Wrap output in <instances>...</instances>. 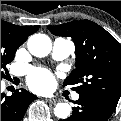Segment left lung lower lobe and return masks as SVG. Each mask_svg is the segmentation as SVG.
Listing matches in <instances>:
<instances>
[{"mask_svg":"<svg viewBox=\"0 0 121 121\" xmlns=\"http://www.w3.org/2000/svg\"><path fill=\"white\" fill-rule=\"evenodd\" d=\"M75 104L78 106L73 108L72 115L59 121H107L115 110L100 99L84 94H79Z\"/></svg>","mask_w":121,"mask_h":121,"instance_id":"1","label":"left lung lower lobe"}]
</instances>
